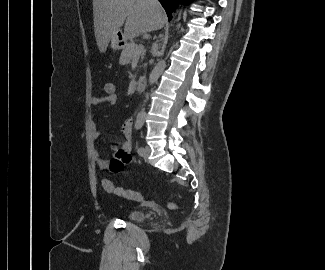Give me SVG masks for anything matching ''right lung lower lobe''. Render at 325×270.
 <instances>
[{"instance_id": "obj_1", "label": "right lung lower lobe", "mask_w": 325, "mask_h": 270, "mask_svg": "<svg viewBox=\"0 0 325 270\" xmlns=\"http://www.w3.org/2000/svg\"><path fill=\"white\" fill-rule=\"evenodd\" d=\"M184 3H188L191 0H181ZM163 8L165 9L168 19L171 20L172 18V12L175 9L177 5V0H159Z\"/></svg>"}]
</instances>
